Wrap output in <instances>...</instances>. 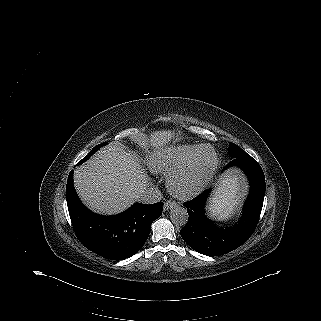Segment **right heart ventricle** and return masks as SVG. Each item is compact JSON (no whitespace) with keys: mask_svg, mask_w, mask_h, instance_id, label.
I'll return each mask as SVG.
<instances>
[{"mask_svg":"<svg viewBox=\"0 0 321 321\" xmlns=\"http://www.w3.org/2000/svg\"><path fill=\"white\" fill-rule=\"evenodd\" d=\"M200 145H179L162 148L149 159V169L155 174L169 175L182 167Z\"/></svg>","mask_w":321,"mask_h":321,"instance_id":"right-heart-ventricle-1","label":"right heart ventricle"}]
</instances>
